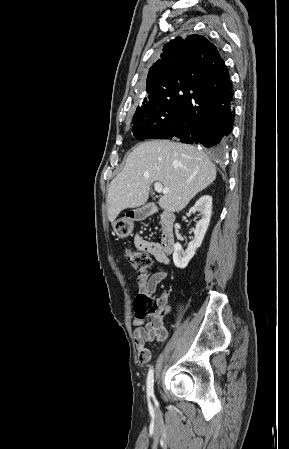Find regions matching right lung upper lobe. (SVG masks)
I'll use <instances>...</instances> for the list:
<instances>
[{"label":"right lung upper lobe","mask_w":289,"mask_h":449,"mask_svg":"<svg viewBox=\"0 0 289 449\" xmlns=\"http://www.w3.org/2000/svg\"><path fill=\"white\" fill-rule=\"evenodd\" d=\"M224 66L217 48L205 37L178 36L164 45L161 58L149 69L146 92L150 95L177 89L181 82L206 81Z\"/></svg>","instance_id":"right-lung-upper-lobe-1"}]
</instances>
